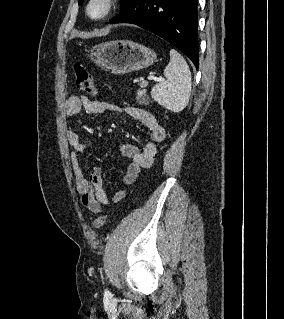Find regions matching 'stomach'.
I'll list each match as a JSON object with an SVG mask.
<instances>
[{
	"instance_id": "obj_1",
	"label": "stomach",
	"mask_w": 284,
	"mask_h": 319,
	"mask_svg": "<svg viewBox=\"0 0 284 319\" xmlns=\"http://www.w3.org/2000/svg\"><path fill=\"white\" fill-rule=\"evenodd\" d=\"M91 59L113 74H125L147 68L156 62V53L130 40H113L92 47Z\"/></svg>"
}]
</instances>
